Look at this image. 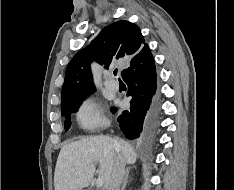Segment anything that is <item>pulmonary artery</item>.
I'll use <instances>...</instances> for the list:
<instances>
[{"label":"pulmonary artery","mask_w":234,"mask_h":190,"mask_svg":"<svg viewBox=\"0 0 234 190\" xmlns=\"http://www.w3.org/2000/svg\"><path fill=\"white\" fill-rule=\"evenodd\" d=\"M106 87L111 90V91H117L118 88H119V85L117 82H114V81H108L106 83Z\"/></svg>","instance_id":"obj_1"}]
</instances>
